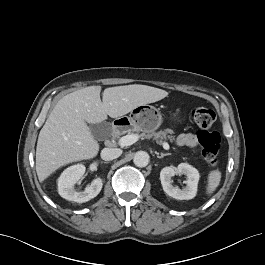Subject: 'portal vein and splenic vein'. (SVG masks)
Returning <instances> with one entry per match:
<instances>
[{"mask_svg": "<svg viewBox=\"0 0 265 265\" xmlns=\"http://www.w3.org/2000/svg\"><path fill=\"white\" fill-rule=\"evenodd\" d=\"M138 139H139V136L137 134L126 135V136H123L119 139L118 144L121 147L130 146V145L134 144L135 142H137ZM162 146L165 150H169V148H170V146L167 142H163Z\"/></svg>", "mask_w": 265, "mask_h": 265, "instance_id": "obj_1", "label": "portal vein and splenic vein"}]
</instances>
